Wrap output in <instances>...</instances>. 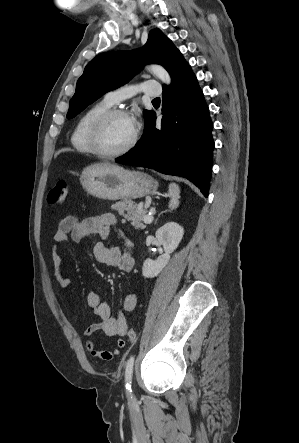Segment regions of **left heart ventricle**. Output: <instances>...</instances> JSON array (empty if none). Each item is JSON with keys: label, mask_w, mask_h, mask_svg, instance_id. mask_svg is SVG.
I'll return each mask as SVG.
<instances>
[{"label": "left heart ventricle", "mask_w": 299, "mask_h": 443, "mask_svg": "<svg viewBox=\"0 0 299 443\" xmlns=\"http://www.w3.org/2000/svg\"><path fill=\"white\" fill-rule=\"evenodd\" d=\"M135 127L128 117H114L106 125L100 137V145L107 152L125 147L133 137Z\"/></svg>", "instance_id": "obj_1"}]
</instances>
